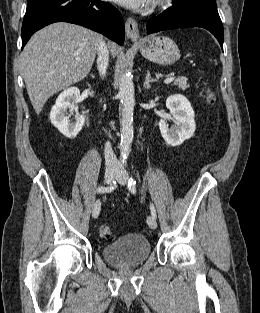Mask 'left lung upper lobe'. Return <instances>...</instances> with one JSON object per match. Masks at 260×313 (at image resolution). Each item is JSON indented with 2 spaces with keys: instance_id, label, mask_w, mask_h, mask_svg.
Returning a JSON list of instances; mask_svg holds the SVG:
<instances>
[{
  "instance_id": "5c2ea615",
  "label": "left lung upper lobe",
  "mask_w": 260,
  "mask_h": 313,
  "mask_svg": "<svg viewBox=\"0 0 260 313\" xmlns=\"http://www.w3.org/2000/svg\"><path fill=\"white\" fill-rule=\"evenodd\" d=\"M174 4L180 7H200L217 10L215 0H173Z\"/></svg>"
}]
</instances>
